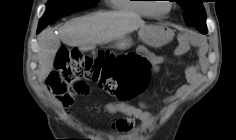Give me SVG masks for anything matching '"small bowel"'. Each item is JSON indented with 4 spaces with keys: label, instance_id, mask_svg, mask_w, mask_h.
Here are the masks:
<instances>
[{
    "label": "small bowel",
    "instance_id": "1",
    "mask_svg": "<svg viewBox=\"0 0 236 140\" xmlns=\"http://www.w3.org/2000/svg\"><path fill=\"white\" fill-rule=\"evenodd\" d=\"M188 45L185 39H181L180 44L176 50L178 55H182L187 51ZM151 66L153 72H158L161 66L166 62V58L161 55H155L146 51L141 52ZM201 74L196 65H190L185 69V83L180 85L176 91L159 100L158 102L166 105L163 114L170 112L176 104L189 93L192 89L201 83ZM73 100L69 99L63 102L65 108L72 104ZM151 102L141 100L138 106L129 105L124 102L113 103L106 106V113L116 116L112 125L113 130L119 133H129L134 128L135 122L140 121L144 128H148L155 120V117L146 108Z\"/></svg>",
    "mask_w": 236,
    "mask_h": 140
}]
</instances>
